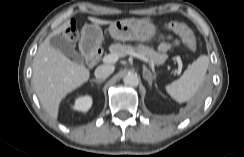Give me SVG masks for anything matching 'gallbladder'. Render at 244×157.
<instances>
[{"label": "gallbladder", "instance_id": "bac80fb5", "mask_svg": "<svg viewBox=\"0 0 244 157\" xmlns=\"http://www.w3.org/2000/svg\"><path fill=\"white\" fill-rule=\"evenodd\" d=\"M50 45L61 51L65 56L73 59L77 63H83V56L75 50L71 42L62 35H54L50 38Z\"/></svg>", "mask_w": 244, "mask_h": 157}]
</instances>
